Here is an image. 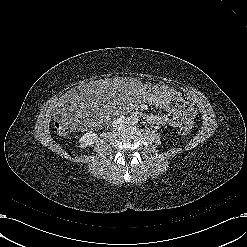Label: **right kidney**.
I'll return each instance as SVG.
<instances>
[{"label":"right kidney","mask_w":247,"mask_h":247,"mask_svg":"<svg viewBox=\"0 0 247 247\" xmlns=\"http://www.w3.org/2000/svg\"><path fill=\"white\" fill-rule=\"evenodd\" d=\"M98 138V135L94 132H87L85 133L79 140L80 147L85 148L87 146H90L96 142Z\"/></svg>","instance_id":"right-kidney-1"}]
</instances>
